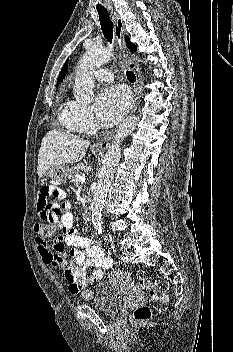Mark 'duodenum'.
<instances>
[{
	"mask_svg": "<svg viewBox=\"0 0 233 352\" xmlns=\"http://www.w3.org/2000/svg\"><path fill=\"white\" fill-rule=\"evenodd\" d=\"M84 215L86 217L87 220H91L92 218V211L90 207L85 208L84 210Z\"/></svg>",
	"mask_w": 233,
	"mask_h": 352,
	"instance_id": "1",
	"label": "duodenum"
}]
</instances>
